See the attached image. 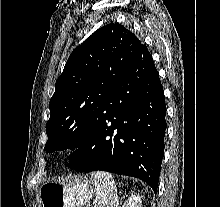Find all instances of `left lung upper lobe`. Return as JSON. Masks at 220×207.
Segmentation results:
<instances>
[{
    "label": "left lung upper lobe",
    "mask_w": 220,
    "mask_h": 207,
    "mask_svg": "<svg viewBox=\"0 0 220 207\" xmlns=\"http://www.w3.org/2000/svg\"><path fill=\"white\" fill-rule=\"evenodd\" d=\"M140 45L134 33L111 23L73 50L50 100L46 151L72 149L84 142Z\"/></svg>",
    "instance_id": "1"
}]
</instances>
